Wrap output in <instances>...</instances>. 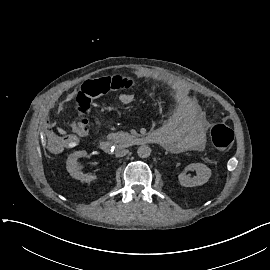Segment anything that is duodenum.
Returning <instances> with one entry per match:
<instances>
[{
  "instance_id": "duodenum-1",
  "label": "duodenum",
  "mask_w": 270,
  "mask_h": 270,
  "mask_svg": "<svg viewBox=\"0 0 270 270\" xmlns=\"http://www.w3.org/2000/svg\"><path fill=\"white\" fill-rule=\"evenodd\" d=\"M132 143L137 146H142L148 144H160L161 140L160 137L155 132H153L147 135L134 137L132 139ZM100 149L103 152L110 154L114 150V144L108 139L102 140L100 143Z\"/></svg>"
}]
</instances>
